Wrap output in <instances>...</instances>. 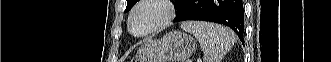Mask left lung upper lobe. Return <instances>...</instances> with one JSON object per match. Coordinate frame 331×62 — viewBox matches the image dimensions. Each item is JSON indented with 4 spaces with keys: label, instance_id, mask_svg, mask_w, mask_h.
<instances>
[{
    "label": "left lung upper lobe",
    "instance_id": "left-lung-upper-lobe-1",
    "mask_svg": "<svg viewBox=\"0 0 331 62\" xmlns=\"http://www.w3.org/2000/svg\"><path fill=\"white\" fill-rule=\"evenodd\" d=\"M137 1H139V0H127V7H126L125 12L129 11ZM172 2L176 8L181 10L183 8V6L185 5V3L187 2V0H175Z\"/></svg>",
    "mask_w": 331,
    "mask_h": 62
}]
</instances>
